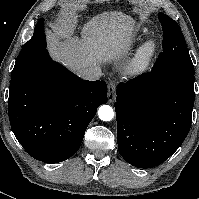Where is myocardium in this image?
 I'll list each match as a JSON object with an SVG mask.
<instances>
[{"mask_svg":"<svg viewBox=\"0 0 199 199\" xmlns=\"http://www.w3.org/2000/svg\"><path fill=\"white\" fill-rule=\"evenodd\" d=\"M157 49L155 40L146 41L133 58L130 69L132 72L139 73L146 70Z\"/></svg>","mask_w":199,"mask_h":199,"instance_id":"myocardium-1","label":"myocardium"}]
</instances>
